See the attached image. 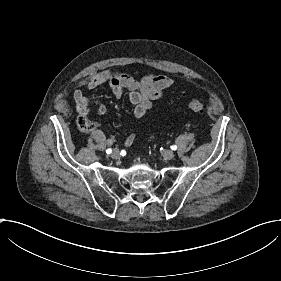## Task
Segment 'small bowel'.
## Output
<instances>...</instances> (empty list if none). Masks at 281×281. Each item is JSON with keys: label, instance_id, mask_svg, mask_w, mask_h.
<instances>
[{"label": "small bowel", "instance_id": "1", "mask_svg": "<svg viewBox=\"0 0 281 281\" xmlns=\"http://www.w3.org/2000/svg\"><path fill=\"white\" fill-rule=\"evenodd\" d=\"M172 80L164 75L148 74L141 79L120 73L102 70L85 80H80L74 92L73 98L79 113L88 112L90 106H97L100 114H105L107 109L96 97H86V89L108 85L116 98H121L124 89L129 91V100L135 105L133 113L136 117H142L153 104V101L163 96L165 90L172 85ZM134 136L130 135L125 145L132 144Z\"/></svg>", "mask_w": 281, "mask_h": 281}]
</instances>
